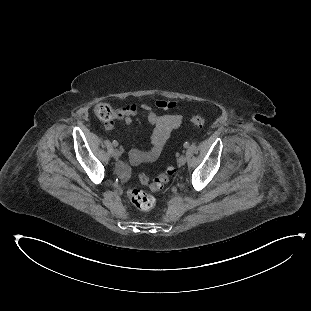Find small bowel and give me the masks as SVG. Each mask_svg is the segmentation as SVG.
Segmentation results:
<instances>
[{"instance_id": "c3829d8e", "label": "small bowel", "mask_w": 311, "mask_h": 311, "mask_svg": "<svg viewBox=\"0 0 311 311\" xmlns=\"http://www.w3.org/2000/svg\"><path fill=\"white\" fill-rule=\"evenodd\" d=\"M175 106L176 103L174 101L158 100L154 105L147 102H143L140 105L127 103L117 110L119 119L123 121L125 125H129L133 118L138 115L139 111H142L147 115V120L151 127L149 134L150 149L148 151L131 149L128 152V161L132 165L138 166L143 163L153 162L159 158L172 132L181 124L182 116L171 113L157 115L154 111V107L164 111H171Z\"/></svg>"}]
</instances>
